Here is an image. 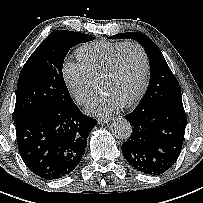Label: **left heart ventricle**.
Listing matches in <instances>:
<instances>
[{"mask_svg":"<svg viewBox=\"0 0 203 203\" xmlns=\"http://www.w3.org/2000/svg\"><path fill=\"white\" fill-rule=\"evenodd\" d=\"M144 71L143 58L135 47L126 48L115 71L102 83L101 91L122 103L132 98L139 89Z\"/></svg>","mask_w":203,"mask_h":203,"instance_id":"b2bd125f","label":"left heart ventricle"}]
</instances>
